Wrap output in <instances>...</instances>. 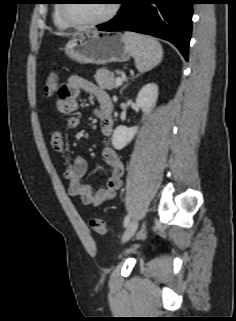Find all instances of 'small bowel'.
Instances as JSON below:
<instances>
[{
  "mask_svg": "<svg viewBox=\"0 0 236 321\" xmlns=\"http://www.w3.org/2000/svg\"><path fill=\"white\" fill-rule=\"evenodd\" d=\"M83 91L96 97L98 107L95 112L103 135L109 139L114 126L109 109L111 98L103 88L77 75L70 76L61 86L56 100L57 110L65 116L64 126L67 129H75L80 125V119L70 114L78 109L79 98ZM51 145L64 158V174L70 196L80 199L84 204L94 206H99L116 197L121 186L124 166L113 148L107 146L101 151L102 160L110 168V176L103 187L95 188L83 181L87 172L86 160L79 154L65 158V139L61 131H54L51 134Z\"/></svg>",
  "mask_w": 236,
  "mask_h": 321,
  "instance_id": "1",
  "label": "small bowel"
}]
</instances>
